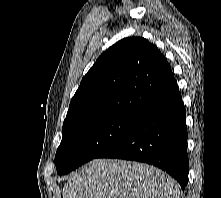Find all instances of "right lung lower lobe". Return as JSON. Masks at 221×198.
I'll return each mask as SVG.
<instances>
[{"mask_svg": "<svg viewBox=\"0 0 221 198\" xmlns=\"http://www.w3.org/2000/svg\"><path fill=\"white\" fill-rule=\"evenodd\" d=\"M181 94L176 90L149 112L116 144L97 158H116L154 165L180 184L188 182L187 128Z\"/></svg>", "mask_w": 221, "mask_h": 198, "instance_id": "1", "label": "right lung lower lobe"}]
</instances>
